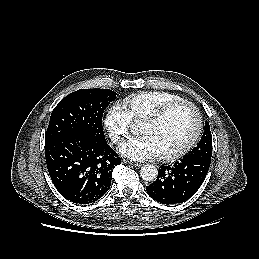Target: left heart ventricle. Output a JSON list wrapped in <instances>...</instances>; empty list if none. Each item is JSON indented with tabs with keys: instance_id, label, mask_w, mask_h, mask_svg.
Returning a JSON list of instances; mask_svg holds the SVG:
<instances>
[{
	"instance_id": "b2bd125f",
	"label": "left heart ventricle",
	"mask_w": 259,
	"mask_h": 259,
	"mask_svg": "<svg viewBox=\"0 0 259 259\" xmlns=\"http://www.w3.org/2000/svg\"><path fill=\"white\" fill-rule=\"evenodd\" d=\"M196 116L187 106H180L155 124L141 123L139 132L153 142L158 155L170 153L182 147L193 135Z\"/></svg>"
}]
</instances>
